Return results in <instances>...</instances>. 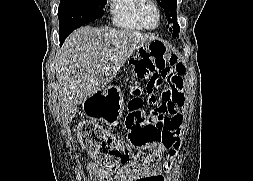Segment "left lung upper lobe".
<instances>
[{"label": "left lung upper lobe", "mask_w": 253, "mask_h": 181, "mask_svg": "<svg viewBox=\"0 0 253 181\" xmlns=\"http://www.w3.org/2000/svg\"><path fill=\"white\" fill-rule=\"evenodd\" d=\"M159 5L164 9L166 18H168L169 25L167 28L172 32L173 37H178L180 27L177 23V14H176V0H157Z\"/></svg>", "instance_id": "1"}]
</instances>
